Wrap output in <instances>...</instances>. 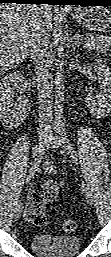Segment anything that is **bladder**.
Instances as JSON below:
<instances>
[{
  "label": "bladder",
  "mask_w": 111,
  "mask_h": 257,
  "mask_svg": "<svg viewBox=\"0 0 111 257\" xmlns=\"http://www.w3.org/2000/svg\"><path fill=\"white\" fill-rule=\"evenodd\" d=\"M30 248L38 257H73L79 253L81 241L77 236L37 234Z\"/></svg>",
  "instance_id": "bladder-1"
}]
</instances>
